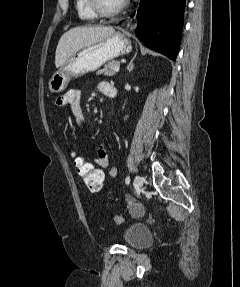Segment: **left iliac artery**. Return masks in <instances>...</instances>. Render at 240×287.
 <instances>
[{
    "instance_id": "44dca946",
    "label": "left iliac artery",
    "mask_w": 240,
    "mask_h": 287,
    "mask_svg": "<svg viewBox=\"0 0 240 287\" xmlns=\"http://www.w3.org/2000/svg\"><path fill=\"white\" fill-rule=\"evenodd\" d=\"M125 182H126V184L130 183V177L129 176L126 177Z\"/></svg>"
}]
</instances>
